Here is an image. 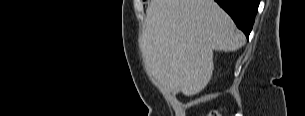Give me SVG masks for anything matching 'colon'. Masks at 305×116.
<instances>
[{"label": "colon", "mask_w": 305, "mask_h": 116, "mask_svg": "<svg viewBox=\"0 0 305 116\" xmlns=\"http://www.w3.org/2000/svg\"><path fill=\"white\" fill-rule=\"evenodd\" d=\"M208 116H221V113L218 110H213L208 114Z\"/></svg>", "instance_id": "1"}]
</instances>
